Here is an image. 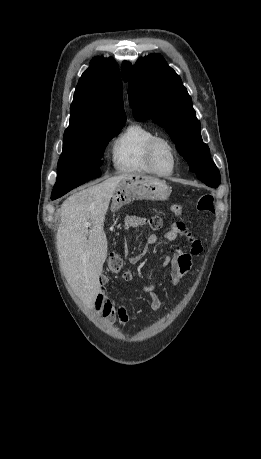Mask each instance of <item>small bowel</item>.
<instances>
[{
  "label": "small bowel",
  "mask_w": 261,
  "mask_h": 459,
  "mask_svg": "<svg viewBox=\"0 0 261 459\" xmlns=\"http://www.w3.org/2000/svg\"><path fill=\"white\" fill-rule=\"evenodd\" d=\"M147 224L145 218L138 216H129L124 221V229H132L137 227H143ZM178 237H184L191 247L190 253H183L180 250H176L172 256H168L163 266H170V276L172 284L178 285L182 278L190 271L192 265L193 255L199 254L202 250L200 241L188 230L185 224L173 223L170 228L162 235L150 234L147 238L148 245H155L161 242H172ZM147 250L144 252L146 253ZM121 278L125 282L133 280V275L130 271L122 273ZM101 284L105 285L109 282L108 276H102L100 278ZM142 290L148 294L150 307L154 311H160L162 309V302L158 295L154 292L153 286H144ZM96 307L102 314V316L108 322H114L118 320L122 326H126L129 322L128 310L124 305H118L114 303L107 295L105 288H101L98 292L96 299Z\"/></svg>",
  "instance_id": "small-bowel-1"
}]
</instances>
